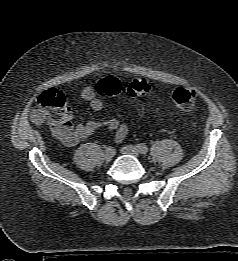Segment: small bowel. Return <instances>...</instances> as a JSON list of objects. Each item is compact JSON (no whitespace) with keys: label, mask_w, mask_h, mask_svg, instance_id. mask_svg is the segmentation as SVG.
<instances>
[{"label":"small bowel","mask_w":238,"mask_h":261,"mask_svg":"<svg viewBox=\"0 0 238 261\" xmlns=\"http://www.w3.org/2000/svg\"><path fill=\"white\" fill-rule=\"evenodd\" d=\"M97 94L96 87L91 85L86 86L81 92V98L88 102L94 111H100L103 107V103L101 99L97 97ZM102 127H106L109 131L114 132L116 142H122L129 132L128 124L117 118L74 125L70 117L63 123L51 125L54 136L67 146L77 145Z\"/></svg>","instance_id":"c3829d8e"}]
</instances>
